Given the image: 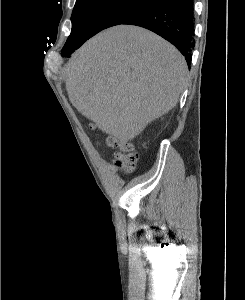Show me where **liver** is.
Listing matches in <instances>:
<instances>
[{
	"label": "liver",
	"mask_w": 245,
	"mask_h": 300,
	"mask_svg": "<svg viewBox=\"0 0 245 300\" xmlns=\"http://www.w3.org/2000/svg\"><path fill=\"white\" fill-rule=\"evenodd\" d=\"M187 74L184 57L169 42L144 28L118 25L74 53L66 89L83 116L126 142L176 106Z\"/></svg>",
	"instance_id": "1"
}]
</instances>
